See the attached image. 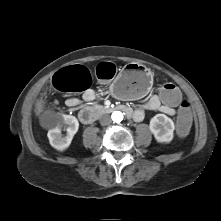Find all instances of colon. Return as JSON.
Instances as JSON below:
<instances>
[{"label": "colon", "instance_id": "1", "mask_svg": "<svg viewBox=\"0 0 221 221\" xmlns=\"http://www.w3.org/2000/svg\"><path fill=\"white\" fill-rule=\"evenodd\" d=\"M116 74V67L109 62L100 63L96 68V76L100 80H111ZM92 84L89 70L81 65H74L58 71L52 78V85L61 92L73 93L86 91ZM159 99L167 108L179 107L178 119L175 123V135L184 139L190 135L193 123L189 103L183 100L180 89L174 84H165L159 90ZM43 103L35 102V110L41 111Z\"/></svg>", "mask_w": 221, "mask_h": 221}]
</instances>
